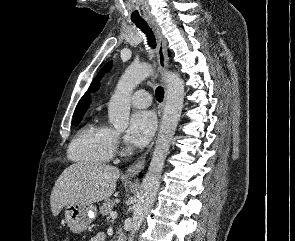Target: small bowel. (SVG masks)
I'll return each mask as SVG.
<instances>
[{
  "mask_svg": "<svg viewBox=\"0 0 295 241\" xmlns=\"http://www.w3.org/2000/svg\"><path fill=\"white\" fill-rule=\"evenodd\" d=\"M104 233L98 232L92 236L89 241H104Z\"/></svg>",
  "mask_w": 295,
  "mask_h": 241,
  "instance_id": "small-bowel-1",
  "label": "small bowel"
}]
</instances>
